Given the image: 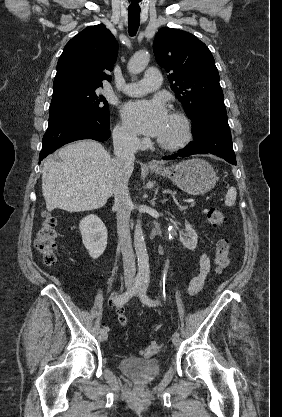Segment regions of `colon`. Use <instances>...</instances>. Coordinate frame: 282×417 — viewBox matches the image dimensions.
I'll return each mask as SVG.
<instances>
[{"instance_id":"5ec220e1","label":"colon","mask_w":282,"mask_h":417,"mask_svg":"<svg viewBox=\"0 0 282 417\" xmlns=\"http://www.w3.org/2000/svg\"><path fill=\"white\" fill-rule=\"evenodd\" d=\"M42 225L36 237V249L42 257L45 265L52 266L57 259V222L49 212H45ZM207 221L214 227H220L227 223L228 217L223 210L210 208L206 212ZM230 245L225 239H219L215 246L213 266L216 271H222L230 264ZM160 342H152L145 346L142 355L147 358L156 356L162 349Z\"/></svg>"}]
</instances>
